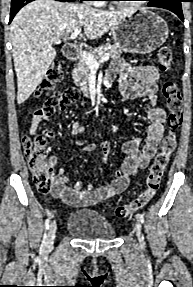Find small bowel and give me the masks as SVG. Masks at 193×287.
<instances>
[{
    "label": "small bowel",
    "mask_w": 193,
    "mask_h": 287,
    "mask_svg": "<svg viewBox=\"0 0 193 287\" xmlns=\"http://www.w3.org/2000/svg\"><path fill=\"white\" fill-rule=\"evenodd\" d=\"M110 71L113 75H118L121 78L120 88L123 100L148 99L150 105L147 116L150 124L147 135L144 139L134 138L124 143L121 167L113 173L108 184L99 187L89 185V189L83 194H78L76 188L69 185V179L66 176L67 168L59 166L52 180L51 194L53 197L73 206L92 205L124 191L130 178L136 175L138 170L147 167L150 159L158 150L164 134L166 111L159 106L157 101L158 70L152 66L130 67L122 60H115L111 64ZM46 119L47 116H34L29 130L30 134L34 135ZM70 130L76 136L85 132V128L77 122L70 125ZM47 136L52 139L54 137L53 131L49 130ZM99 147L102 151V161L106 162L111 151L110 143L102 141ZM96 148V144H87L77 149L92 151ZM58 161V156H51L50 163L52 167H56Z\"/></svg>",
    "instance_id": "1"
}]
</instances>
